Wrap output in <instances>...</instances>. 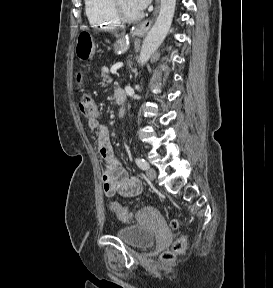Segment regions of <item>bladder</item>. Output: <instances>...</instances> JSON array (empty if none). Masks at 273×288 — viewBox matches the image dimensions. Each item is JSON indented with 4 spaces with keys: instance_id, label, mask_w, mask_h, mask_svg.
Here are the masks:
<instances>
[{
    "instance_id": "1",
    "label": "bladder",
    "mask_w": 273,
    "mask_h": 288,
    "mask_svg": "<svg viewBox=\"0 0 273 288\" xmlns=\"http://www.w3.org/2000/svg\"><path fill=\"white\" fill-rule=\"evenodd\" d=\"M117 236L126 245L137 249L148 248L152 246L156 241L154 232L140 225L123 227L118 230Z\"/></svg>"
}]
</instances>
